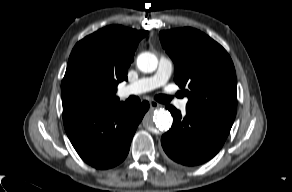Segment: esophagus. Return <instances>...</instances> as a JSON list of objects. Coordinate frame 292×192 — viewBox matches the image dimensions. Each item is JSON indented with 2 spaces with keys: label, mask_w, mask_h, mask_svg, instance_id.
Here are the masks:
<instances>
[{
  "label": "esophagus",
  "mask_w": 292,
  "mask_h": 192,
  "mask_svg": "<svg viewBox=\"0 0 292 192\" xmlns=\"http://www.w3.org/2000/svg\"><path fill=\"white\" fill-rule=\"evenodd\" d=\"M150 108L151 109H156V108H158V107H160V104L158 103V102H156V101H150Z\"/></svg>",
  "instance_id": "1"
}]
</instances>
